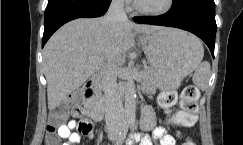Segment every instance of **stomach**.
<instances>
[{
    "mask_svg": "<svg viewBox=\"0 0 243 145\" xmlns=\"http://www.w3.org/2000/svg\"><path fill=\"white\" fill-rule=\"evenodd\" d=\"M139 40L156 75L155 86L161 90L178 88L196 68L203 49L198 38L174 28H163Z\"/></svg>",
    "mask_w": 243,
    "mask_h": 145,
    "instance_id": "obj_1",
    "label": "stomach"
}]
</instances>
